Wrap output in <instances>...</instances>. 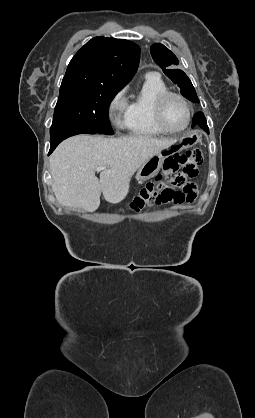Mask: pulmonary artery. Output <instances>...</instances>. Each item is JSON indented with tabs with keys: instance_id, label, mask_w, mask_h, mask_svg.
Segmentation results:
<instances>
[{
	"instance_id": "obj_1",
	"label": "pulmonary artery",
	"mask_w": 255,
	"mask_h": 418,
	"mask_svg": "<svg viewBox=\"0 0 255 418\" xmlns=\"http://www.w3.org/2000/svg\"><path fill=\"white\" fill-rule=\"evenodd\" d=\"M148 76H156V74L155 73H150V74H148Z\"/></svg>"
}]
</instances>
